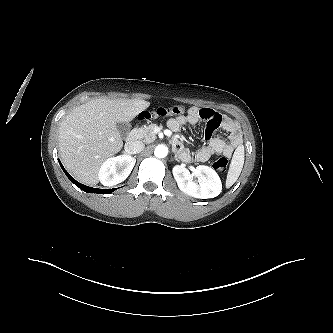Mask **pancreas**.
I'll use <instances>...</instances> for the list:
<instances>
[{"mask_svg": "<svg viewBox=\"0 0 333 333\" xmlns=\"http://www.w3.org/2000/svg\"><path fill=\"white\" fill-rule=\"evenodd\" d=\"M156 125L150 124L141 128H137L136 138L143 139L146 143H151L156 139L154 132Z\"/></svg>", "mask_w": 333, "mask_h": 333, "instance_id": "obj_1", "label": "pancreas"}]
</instances>
